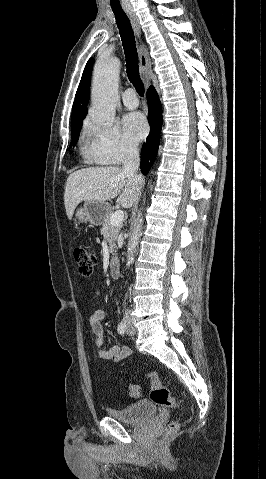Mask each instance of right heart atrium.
Masks as SVG:
<instances>
[{"label":"right heart atrium","instance_id":"d8ad5b80","mask_svg":"<svg viewBox=\"0 0 266 479\" xmlns=\"http://www.w3.org/2000/svg\"><path fill=\"white\" fill-rule=\"evenodd\" d=\"M90 138L91 159L102 164H121L135 156L137 149L120 129L115 126H102L93 122L86 124Z\"/></svg>","mask_w":266,"mask_h":479}]
</instances>
